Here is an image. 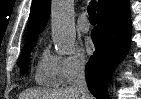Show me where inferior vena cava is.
<instances>
[{
  "mask_svg": "<svg viewBox=\"0 0 141 99\" xmlns=\"http://www.w3.org/2000/svg\"><path fill=\"white\" fill-rule=\"evenodd\" d=\"M72 87L81 94L82 99H91V94L88 90L84 64L78 63L73 70V84Z\"/></svg>",
  "mask_w": 141,
  "mask_h": 99,
  "instance_id": "1",
  "label": "inferior vena cava"
}]
</instances>
